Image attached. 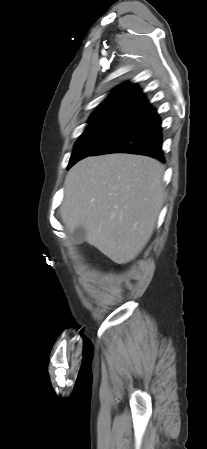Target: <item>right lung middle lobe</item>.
<instances>
[{
    "label": "right lung middle lobe",
    "mask_w": 207,
    "mask_h": 449,
    "mask_svg": "<svg viewBox=\"0 0 207 449\" xmlns=\"http://www.w3.org/2000/svg\"><path fill=\"white\" fill-rule=\"evenodd\" d=\"M135 115V113L121 111L92 115L88 126L74 146L67 169L78 160L91 155L108 138L129 123Z\"/></svg>",
    "instance_id": "1"
}]
</instances>
